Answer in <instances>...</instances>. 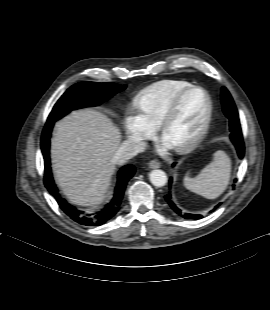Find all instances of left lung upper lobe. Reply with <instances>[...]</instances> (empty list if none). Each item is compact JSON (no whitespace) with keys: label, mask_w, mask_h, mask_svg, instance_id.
<instances>
[{"label":"left lung upper lobe","mask_w":270,"mask_h":310,"mask_svg":"<svg viewBox=\"0 0 270 310\" xmlns=\"http://www.w3.org/2000/svg\"><path fill=\"white\" fill-rule=\"evenodd\" d=\"M221 100H222L223 112L229 119L231 140L242 139V132L238 112L229 91L225 87L222 88Z\"/></svg>","instance_id":"left-lung-upper-lobe-1"}]
</instances>
